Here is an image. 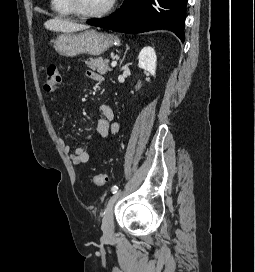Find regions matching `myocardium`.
Wrapping results in <instances>:
<instances>
[{
  "mask_svg": "<svg viewBox=\"0 0 255 272\" xmlns=\"http://www.w3.org/2000/svg\"><path fill=\"white\" fill-rule=\"evenodd\" d=\"M68 8L71 10V12L79 17V18H84V19H95V18H102L107 16L108 14L111 13L113 10L116 0H110L108 5L101 11L98 12H85L82 11L76 0H65Z\"/></svg>",
  "mask_w": 255,
  "mask_h": 272,
  "instance_id": "obj_1",
  "label": "myocardium"
}]
</instances>
